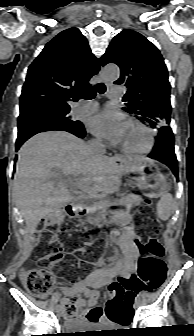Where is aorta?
I'll return each mask as SVG.
<instances>
[{"mask_svg": "<svg viewBox=\"0 0 194 336\" xmlns=\"http://www.w3.org/2000/svg\"><path fill=\"white\" fill-rule=\"evenodd\" d=\"M119 74V68L114 64L106 65L102 70L103 77L108 80H116Z\"/></svg>", "mask_w": 194, "mask_h": 336, "instance_id": "1", "label": "aorta"}]
</instances>
